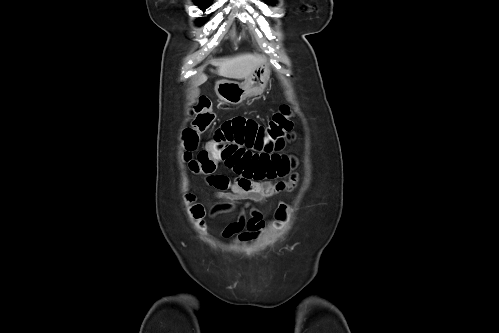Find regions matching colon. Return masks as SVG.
<instances>
[{"label": "colon", "mask_w": 499, "mask_h": 333, "mask_svg": "<svg viewBox=\"0 0 499 333\" xmlns=\"http://www.w3.org/2000/svg\"><path fill=\"white\" fill-rule=\"evenodd\" d=\"M194 113L195 119L193 125L187 128L183 134L184 158L193 173L212 174L216 170L219 161L222 160L218 144L215 140L211 141L206 149L201 150L196 156H193V152L199 144V134L210 126L214 118V115L211 113L210 101L207 98H200L194 107ZM291 129L290 108L287 105H282L266 125L268 137L275 141L284 137ZM188 201L193 216L196 219H202L204 216L203 207L194 202L192 196L188 197ZM289 210L290 207L285 204L278 207L275 213L278 223H283L287 220Z\"/></svg>", "instance_id": "colon-1"}]
</instances>
